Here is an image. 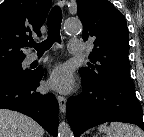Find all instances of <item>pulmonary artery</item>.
<instances>
[{
    "mask_svg": "<svg viewBox=\"0 0 144 137\" xmlns=\"http://www.w3.org/2000/svg\"><path fill=\"white\" fill-rule=\"evenodd\" d=\"M69 52L72 54H81L83 51V42L76 39H70L68 42ZM44 57H38L36 54L29 56V61L42 60Z\"/></svg>",
    "mask_w": 144,
    "mask_h": 137,
    "instance_id": "pulmonary-artery-1",
    "label": "pulmonary artery"
}]
</instances>
